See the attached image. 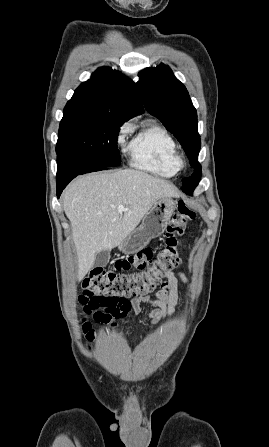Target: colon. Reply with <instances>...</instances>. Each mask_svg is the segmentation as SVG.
I'll list each match as a JSON object with an SVG mask.
<instances>
[{
  "mask_svg": "<svg viewBox=\"0 0 269 447\" xmlns=\"http://www.w3.org/2000/svg\"><path fill=\"white\" fill-rule=\"evenodd\" d=\"M197 219L196 212L185 203H179L166 234V247L158 252L148 249L127 253L126 257H116L106 270L103 266H93L92 272L83 280V294L79 303L87 313H92L94 320L107 321L113 318H126L125 310L130 306L129 297L147 295L156 289L167 275L181 263L180 248L183 246L180 236L185 229ZM121 271H138L131 275L120 274ZM90 295L93 296L90 299ZM100 295V296H98ZM109 307L103 315L98 307ZM113 312V314H112ZM120 312V313H116ZM82 330L89 340L94 339L93 327L89 321L82 319ZM117 328L115 323L110 325Z\"/></svg>",
  "mask_w": 269,
  "mask_h": 447,
  "instance_id": "obj_1",
  "label": "colon"
}]
</instances>
